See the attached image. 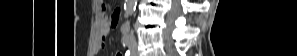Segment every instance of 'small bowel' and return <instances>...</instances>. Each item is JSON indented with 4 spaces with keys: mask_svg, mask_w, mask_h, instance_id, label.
I'll list each match as a JSON object with an SVG mask.
<instances>
[{
    "mask_svg": "<svg viewBox=\"0 0 297 56\" xmlns=\"http://www.w3.org/2000/svg\"><path fill=\"white\" fill-rule=\"evenodd\" d=\"M101 9L103 11V14L100 19V35L98 37V40L95 45V51L99 52L106 43V37L109 33V31L116 26L119 20V10H116L110 17L106 15L105 13V5L101 4ZM117 56H122L121 53L116 54Z\"/></svg>",
    "mask_w": 297,
    "mask_h": 56,
    "instance_id": "small-bowel-1",
    "label": "small bowel"
}]
</instances>
